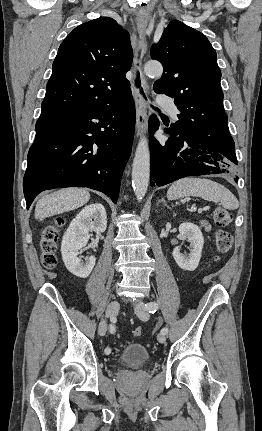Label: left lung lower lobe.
Here are the masks:
<instances>
[{
	"label": "left lung lower lobe",
	"mask_w": 262,
	"mask_h": 431,
	"mask_svg": "<svg viewBox=\"0 0 262 431\" xmlns=\"http://www.w3.org/2000/svg\"><path fill=\"white\" fill-rule=\"evenodd\" d=\"M158 128L159 120L153 115L149 119L151 186H163L188 176L233 173L237 159L230 135L220 143H207L165 129L170 137L160 144L152 137Z\"/></svg>",
	"instance_id": "left-lung-lower-lobe-1"
}]
</instances>
